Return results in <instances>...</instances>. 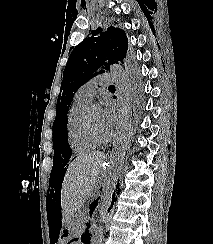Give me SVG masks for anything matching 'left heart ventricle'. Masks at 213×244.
Listing matches in <instances>:
<instances>
[{
  "label": "left heart ventricle",
  "instance_id": "left-heart-ventricle-1",
  "mask_svg": "<svg viewBox=\"0 0 213 244\" xmlns=\"http://www.w3.org/2000/svg\"><path fill=\"white\" fill-rule=\"evenodd\" d=\"M89 118L95 129V131L101 137H105L109 135V132L104 128L101 121V110L99 108H92L89 110Z\"/></svg>",
  "mask_w": 213,
  "mask_h": 244
}]
</instances>
